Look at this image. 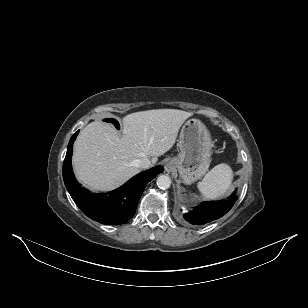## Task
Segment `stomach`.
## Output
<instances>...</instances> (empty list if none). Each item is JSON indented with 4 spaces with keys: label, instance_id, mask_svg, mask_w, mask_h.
Here are the masks:
<instances>
[{
    "label": "stomach",
    "instance_id": "1",
    "mask_svg": "<svg viewBox=\"0 0 308 308\" xmlns=\"http://www.w3.org/2000/svg\"><path fill=\"white\" fill-rule=\"evenodd\" d=\"M177 146L179 154L172 162L183 183L191 184L204 176L210 166V134L200 120L189 119L181 128Z\"/></svg>",
    "mask_w": 308,
    "mask_h": 308
}]
</instances>
